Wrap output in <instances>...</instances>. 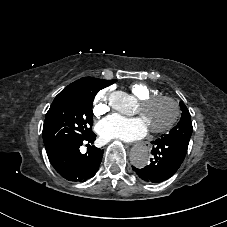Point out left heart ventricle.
Segmentation results:
<instances>
[{"label": "left heart ventricle", "instance_id": "b2bd125f", "mask_svg": "<svg viewBox=\"0 0 227 227\" xmlns=\"http://www.w3.org/2000/svg\"><path fill=\"white\" fill-rule=\"evenodd\" d=\"M138 113L148 128H159L164 126L171 118L173 106L168 101H159L142 112L139 108Z\"/></svg>", "mask_w": 227, "mask_h": 227}]
</instances>
